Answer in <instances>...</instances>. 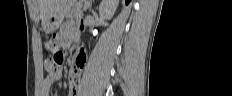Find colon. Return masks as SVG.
Wrapping results in <instances>:
<instances>
[{
	"instance_id": "colon-1",
	"label": "colon",
	"mask_w": 232,
	"mask_h": 96,
	"mask_svg": "<svg viewBox=\"0 0 232 96\" xmlns=\"http://www.w3.org/2000/svg\"><path fill=\"white\" fill-rule=\"evenodd\" d=\"M48 48L53 54L52 60L48 61V69L51 73H54L61 67L64 57L56 39H53L48 43Z\"/></svg>"
}]
</instances>
